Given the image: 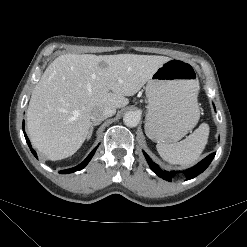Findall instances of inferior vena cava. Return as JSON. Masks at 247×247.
<instances>
[{
	"label": "inferior vena cava",
	"mask_w": 247,
	"mask_h": 247,
	"mask_svg": "<svg viewBox=\"0 0 247 247\" xmlns=\"http://www.w3.org/2000/svg\"><path fill=\"white\" fill-rule=\"evenodd\" d=\"M116 109L113 107L96 108L90 114V119L93 123H100L108 117L113 116Z\"/></svg>",
	"instance_id": "obj_1"
}]
</instances>
